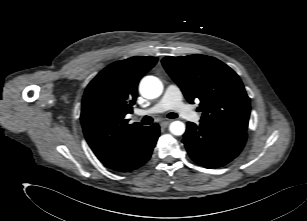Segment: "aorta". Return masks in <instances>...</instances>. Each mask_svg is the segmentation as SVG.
<instances>
[{
  "instance_id": "aorta-1",
  "label": "aorta",
  "mask_w": 307,
  "mask_h": 221,
  "mask_svg": "<svg viewBox=\"0 0 307 221\" xmlns=\"http://www.w3.org/2000/svg\"><path fill=\"white\" fill-rule=\"evenodd\" d=\"M139 91L143 97L154 99L161 95L163 85L157 77L146 76L141 80ZM169 130L174 135H182L185 132V124L181 121H174L170 124Z\"/></svg>"
}]
</instances>
